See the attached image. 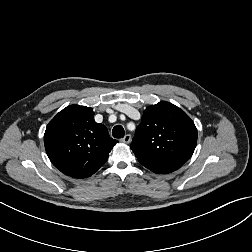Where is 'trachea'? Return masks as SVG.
<instances>
[{
  "label": "trachea",
  "instance_id": "trachea-1",
  "mask_svg": "<svg viewBox=\"0 0 252 252\" xmlns=\"http://www.w3.org/2000/svg\"><path fill=\"white\" fill-rule=\"evenodd\" d=\"M124 134V128L121 125H116L112 130V135L114 138H123Z\"/></svg>",
  "mask_w": 252,
  "mask_h": 252
}]
</instances>
